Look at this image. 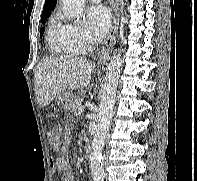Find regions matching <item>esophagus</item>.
Here are the masks:
<instances>
[{
	"label": "esophagus",
	"mask_w": 197,
	"mask_h": 181,
	"mask_svg": "<svg viewBox=\"0 0 197 181\" xmlns=\"http://www.w3.org/2000/svg\"><path fill=\"white\" fill-rule=\"evenodd\" d=\"M113 1V24L111 31L105 41V44L100 53L99 64L104 63L111 53L113 46L116 41V36L118 33V25H119V9L121 0H112Z\"/></svg>",
	"instance_id": "1"
}]
</instances>
